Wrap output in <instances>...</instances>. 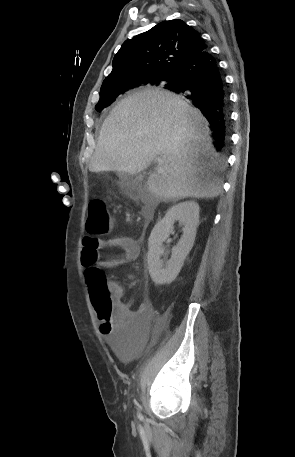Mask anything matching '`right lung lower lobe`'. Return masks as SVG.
Listing matches in <instances>:
<instances>
[{
    "label": "right lung lower lobe",
    "mask_w": 295,
    "mask_h": 457,
    "mask_svg": "<svg viewBox=\"0 0 295 457\" xmlns=\"http://www.w3.org/2000/svg\"><path fill=\"white\" fill-rule=\"evenodd\" d=\"M194 102L213 129V144L223 152L227 146L228 95L215 58L203 50L185 62L166 87Z\"/></svg>",
    "instance_id": "98d812e1"
}]
</instances>
